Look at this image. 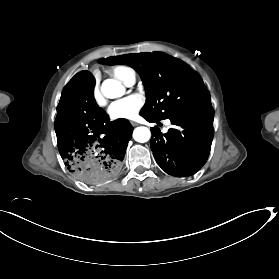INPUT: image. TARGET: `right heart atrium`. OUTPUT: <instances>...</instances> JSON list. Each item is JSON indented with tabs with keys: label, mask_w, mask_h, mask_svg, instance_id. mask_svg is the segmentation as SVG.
I'll return each mask as SVG.
<instances>
[{
	"label": "right heart atrium",
	"mask_w": 279,
	"mask_h": 279,
	"mask_svg": "<svg viewBox=\"0 0 279 279\" xmlns=\"http://www.w3.org/2000/svg\"><path fill=\"white\" fill-rule=\"evenodd\" d=\"M93 97H94V99H95L96 101H98V100L100 99V92H99V90H98L97 87H95V88L93 89Z\"/></svg>",
	"instance_id": "d8ad5b80"
}]
</instances>
